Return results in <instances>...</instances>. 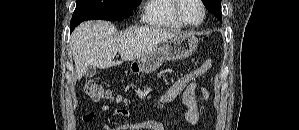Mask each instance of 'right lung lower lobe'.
I'll return each instance as SVG.
<instances>
[{
  "instance_id": "1",
  "label": "right lung lower lobe",
  "mask_w": 299,
  "mask_h": 130,
  "mask_svg": "<svg viewBox=\"0 0 299 130\" xmlns=\"http://www.w3.org/2000/svg\"><path fill=\"white\" fill-rule=\"evenodd\" d=\"M81 22H77V21H74L73 19L71 20V23H70V32H72L74 30V28Z\"/></svg>"
}]
</instances>
